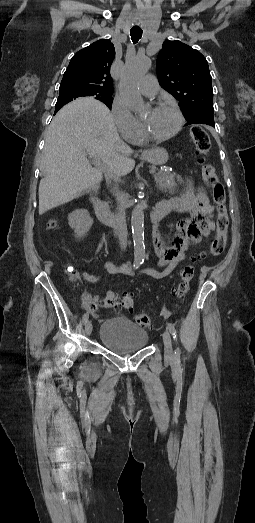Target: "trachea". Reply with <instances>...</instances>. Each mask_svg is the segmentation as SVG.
Here are the masks:
<instances>
[{
	"mask_svg": "<svg viewBox=\"0 0 255 523\" xmlns=\"http://www.w3.org/2000/svg\"><path fill=\"white\" fill-rule=\"evenodd\" d=\"M131 40L135 44L137 43L140 38L142 37V29L138 27H133L130 30Z\"/></svg>",
	"mask_w": 255,
	"mask_h": 523,
	"instance_id": "1",
	"label": "trachea"
}]
</instances>
